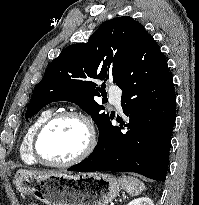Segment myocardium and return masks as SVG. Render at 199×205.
Listing matches in <instances>:
<instances>
[{
    "mask_svg": "<svg viewBox=\"0 0 199 205\" xmlns=\"http://www.w3.org/2000/svg\"><path fill=\"white\" fill-rule=\"evenodd\" d=\"M63 118H75L84 124L87 132L85 145L76 156H74L69 160L63 162H52V161L45 160L39 151V139L47 128H49L56 121ZM95 145H96V131L89 117L80 111L65 110V111H59L53 113L36 130L31 142V152L35 160L42 165L50 166V167H68L77 164L82 160H84L85 158H87L94 150Z\"/></svg>",
    "mask_w": 199,
    "mask_h": 205,
    "instance_id": "myocardium-1",
    "label": "myocardium"
}]
</instances>
